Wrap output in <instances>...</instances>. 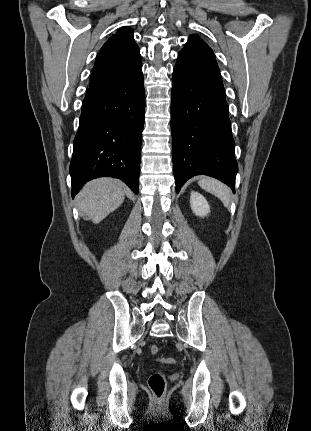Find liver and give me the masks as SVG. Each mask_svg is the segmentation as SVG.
<instances>
[{
	"instance_id": "1",
	"label": "liver",
	"mask_w": 311,
	"mask_h": 431,
	"mask_svg": "<svg viewBox=\"0 0 311 431\" xmlns=\"http://www.w3.org/2000/svg\"><path fill=\"white\" fill-rule=\"evenodd\" d=\"M127 188L120 180L99 178L84 186L77 196L78 206L87 219L99 223L124 202Z\"/></svg>"
}]
</instances>
